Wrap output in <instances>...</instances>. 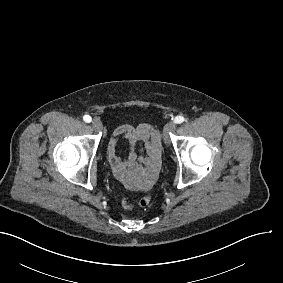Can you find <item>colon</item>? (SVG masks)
I'll return each instance as SVG.
<instances>
[{
    "label": "colon",
    "instance_id": "1",
    "mask_svg": "<svg viewBox=\"0 0 283 283\" xmlns=\"http://www.w3.org/2000/svg\"><path fill=\"white\" fill-rule=\"evenodd\" d=\"M150 203H151V197L149 195L142 196L138 198L136 201L137 206L142 207V208L148 207Z\"/></svg>",
    "mask_w": 283,
    "mask_h": 283
}]
</instances>
